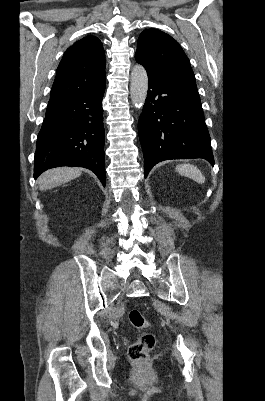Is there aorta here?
I'll return each instance as SVG.
<instances>
[{
    "label": "aorta",
    "instance_id": "obj_1",
    "mask_svg": "<svg viewBox=\"0 0 265 401\" xmlns=\"http://www.w3.org/2000/svg\"><path fill=\"white\" fill-rule=\"evenodd\" d=\"M148 90V76L142 64H135L131 70L130 96L136 108L145 102Z\"/></svg>",
    "mask_w": 265,
    "mask_h": 401
}]
</instances>
